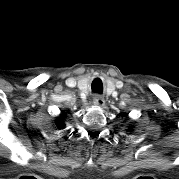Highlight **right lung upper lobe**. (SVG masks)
I'll list each match as a JSON object with an SVG mask.
<instances>
[{
    "label": "right lung upper lobe",
    "instance_id": "obj_1",
    "mask_svg": "<svg viewBox=\"0 0 179 179\" xmlns=\"http://www.w3.org/2000/svg\"><path fill=\"white\" fill-rule=\"evenodd\" d=\"M56 125L59 129H62L64 127V122L59 118L56 120Z\"/></svg>",
    "mask_w": 179,
    "mask_h": 179
}]
</instances>
